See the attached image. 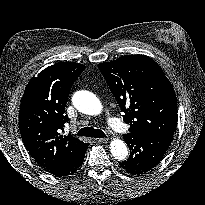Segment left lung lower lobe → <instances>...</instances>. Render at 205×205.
I'll list each match as a JSON object with an SVG mask.
<instances>
[{
  "mask_svg": "<svg viewBox=\"0 0 205 205\" xmlns=\"http://www.w3.org/2000/svg\"><path fill=\"white\" fill-rule=\"evenodd\" d=\"M124 140L130 149V156L119 164L127 173L142 175L149 172L162 160L173 140V134L124 136Z\"/></svg>",
  "mask_w": 205,
  "mask_h": 205,
  "instance_id": "1",
  "label": "left lung lower lobe"
}]
</instances>
